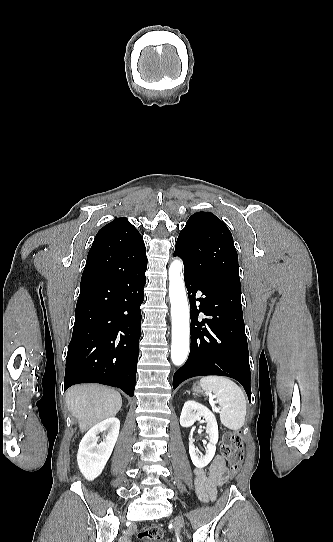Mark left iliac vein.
Listing matches in <instances>:
<instances>
[{"label": "left iliac vein", "mask_w": 333, "mask_h": 542, "mask_svg": "<svg viewBox=\"0 0 333 542\" xmlns=\"http://www.w3.org/2000/svg\"><path fill=\"white\" fill-rule=\"evenodd\" d=\"M177 524L179 527H182L183 526V521L180 517L177 518Z\"/></svg>", "instance_id": "obj_1"}]
</instances>
